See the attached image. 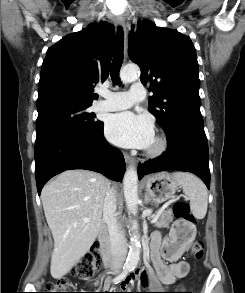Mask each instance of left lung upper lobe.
Returning <instances> with one entry per match:
<instances>
[{
  "label": "left lung upper lobe",
  "mask_w": 245,
  "mask_h": 293,
  "mask_svg": "<svg viewBox=\"0 0 245 293\" xmlns=\"http://www.w3.org/2000/svg\"><path fill=\"white\" fill-rule=\"evenodd\" d=\"M131 34L129 56L141 68V82H150L153 96L148 109L159 125L164 130L180 122L203 126L198 62L191 39L146 21Z\"/></svg>",
  "instance_id": "obj_1"
}]
</instances>
